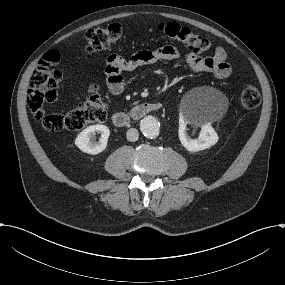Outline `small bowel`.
<instances>
[{
    "label": "small bowel",
    "instance_id": "small-bowel-1",
    "mask_svg": "<svg viewBox=\"0 0 285 285\" xmlns=\"http://www.w3.org/2000/svg\"><path fill=\"white\" fill-rule=\"evenodd\" d=\"M180 58H183L192 70L211 73L217 79H226L232 72L223 47H216L212 57H202L191 50L182 53L173 46L165 45L153 50H140L129 59L115 54L109 56L104 67L107 88L110 94L119 95L124 89L123 72L133 71L158 61H174Z\"/></svg>",
    "mask_w": 285,
    "mask_h": 285
}]
</instances>
